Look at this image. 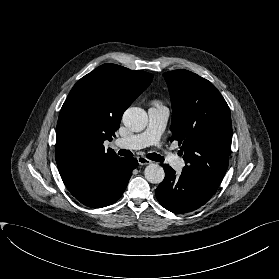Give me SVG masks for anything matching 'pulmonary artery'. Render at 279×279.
<instances>
[{
	"mask_svg": "<svg viewBox=\"0 0 279 279\" xmlns=\"http://www.w3.org/2000/svg\"><path fill=\"white\" fill-rule=\"evenodd\" d=\"M168 116V109L163 105L152 106L148 110V125L145 131L130 137L119 138L116 143L134 150L157 145L165 129ZM165 159L177 171H181L185 166L183 159L173 153L166 152Z\"/></svg>",
	"mask_w": 279,
	"mask_h": 279,
	"instance_id": "pulmonary-artery-1",
	"label": "pulmonary artery"
}]
</instances>
